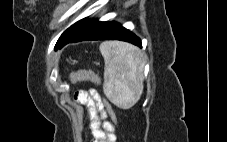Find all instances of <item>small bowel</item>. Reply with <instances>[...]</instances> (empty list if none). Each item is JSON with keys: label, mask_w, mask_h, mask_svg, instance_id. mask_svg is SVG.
Here are the masks:
<instances>
[{"label": "small bowel", "mask_w": 227, "mask_h": 142, "mask_svg": "<svg viewBox=\"0 0 227 142\" xmlns=\"http://www.w3.org/2000/svg\"><path fill=\"white\" fill-rule=\"evenodd\" d=\"M75 99L89 110L92 142H115L113 125L107 120L109 114L98 92L95 89L79 90Z\"/></svg>", "instance_id": "1"}]
</instances>
